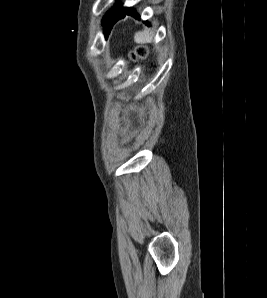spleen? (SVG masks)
<instances>
[{"instance_id":"spleen-1","label":"spleen","mask_w":267,"mask_h":298,"mask_svg":"<svg viewBox=\"0 0 267 298\" xmlns=\"http://www.w3.org/2000/svg\"><path fill=\"white\" fill-rule=\"evenodd\" d=\"M154 34L149 29L138 32L134 36V40L138 44L151 43L153 41Z\"/></svg>"}]
</instances>
